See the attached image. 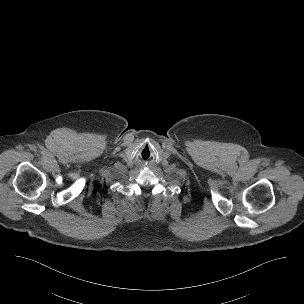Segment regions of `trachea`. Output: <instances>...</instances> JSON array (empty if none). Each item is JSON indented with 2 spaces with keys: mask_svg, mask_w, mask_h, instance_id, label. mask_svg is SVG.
<instances>
[{
  "mask_svg": "<svg viewBox=\"0 0 304 304\" xmlns=\"http://www.w3.org/2000/svg\"><path fill=\"white\" fill-rule=\"evenodd\" d=\"M139 157L141 158V159H148L149 157H150V154H151V151H150V149L149 148H147V147H144V148H141L140 150H139Z\"/></svg>",
  "mask_w": 304,
  "mask_h": 304,
  "instance_id": "obj_1",
  "label": "trachea"
}]
</instances>
